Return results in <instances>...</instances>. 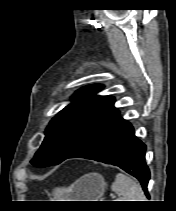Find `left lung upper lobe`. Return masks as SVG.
Returning a JSON list of instances; mask_svg holds the SVG:
<instances>
[{
    "mask_svg": "<svg viewBox=\"0 0 176 211\" xmlns=\"http://www.w3.org/2000/svg\"><path fill=\"white\" fill-rule=\"evenodd\" d=\"M102 89L103 85H89L74 94L73 102L47 126L45 139L31 160L33 165L44 167L61 163L119 114L113 106V97L96 95Z\"/></svg>",
    "mask_w": 176,
    "mask_h": 211,
    "instance_id": "1",
    "label": "left lung upper lobe"
}]
</instances>
